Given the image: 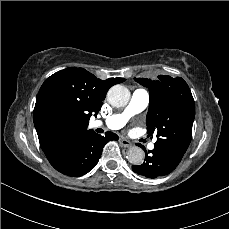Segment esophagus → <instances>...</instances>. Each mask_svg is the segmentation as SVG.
I'll return each instance as SVG.
<instances>
[{"label": "esophagus", "mask_w": 229, "mask_h": 229, "mask_svg": "<svg viewBox=\"0 0 229 229\" xmlns=\"http://www.w3.org/2000/svg\"><path fill=\"white\" fill-rule=\"evenodd\" d=\"M119 143L125 148H128V147H130L132 145V143L129 140H127V139H125L123 137H120Z\"/></svg>", "instance_id": "esophagus-1"}]
</instances>
